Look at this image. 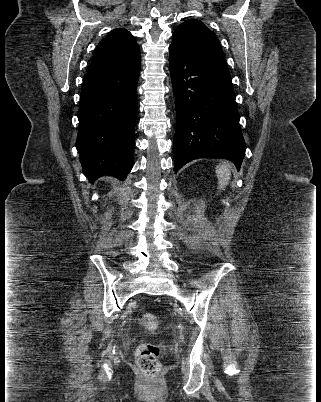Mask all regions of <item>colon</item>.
<instances>
[{
    "label": "colon",
    "mask_w": 321,
    "mask_h": 402,
    "mask_svg": "<svg viewBox=\"0 0 321 402\" xmlns=\"http://www.w3.org/2000/svg\"><path fill=\"white\" fill-rule=\"evenodd\" d=\"M141 327L147 331H154L158 326V320L152 313H143L139 318ZM164 350L163 345L145 342L140 344L135 353L136 364L143 375L154 378L160 371V355Z\"/></svg>",
    "instance_id": "5ec220e1"
}]
</instances>
